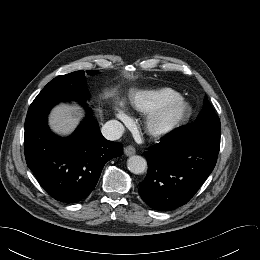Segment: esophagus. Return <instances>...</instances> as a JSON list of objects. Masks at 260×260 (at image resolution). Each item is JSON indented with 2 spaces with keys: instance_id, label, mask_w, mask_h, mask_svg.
<instances>
[{
  "instance_id": "1",
  "label": "esophagus",
  "mask_w": 260,
  "mask_h": 260,
  "mask_svg": "<svg viewBox=\"0 0 260 260\" xmlns=\"http://www.w3.org/2000/svg\"><path fill=\"white\" fill-rule=\"evenodd\" d=\"M124 153L126 156H132L136 153V149L133 146L129 145L125 147Z\"/></svg>"
}]
</instances>
